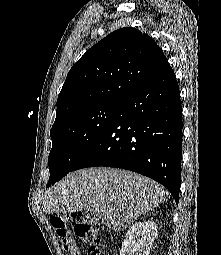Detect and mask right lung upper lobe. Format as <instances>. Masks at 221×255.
I'll return each instance as SVG.
<instances>
[{"mask_svg":"<svg viewBox=\"0 0 221 255\" xmlns=\"http://www.w3.org/2000/svg\"><path fill=\"white\" fill-rule=\"evenodd\" d=\"M169 65L160 47L135 28H121L91 47L70 69L54 125L103 103H121Z\"/></svg>","mask_w":221,"mask_h":255,"instance_id":"right-lung-upper-lobe-1","label":"right lung upper lobe"}]
</instances>
